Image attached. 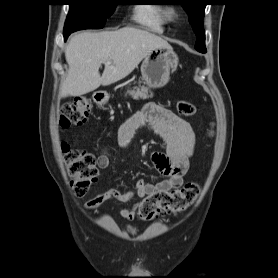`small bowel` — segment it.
<instances>
[{
  "mask_svg": "<svg viewBox=\"0 0 278 278\" xmlns=\"http://www.w3.org/2000/svg\"><path fill=\"white\" fill-rule=\"evenodd\" d=\"M141 128H148L165 143L164 152H156L152 161L157 171L164 178L157 183H147L140 179L132 191H123L110 187L86 203L88 209H96L108 200L129 202L134 197L144 198L158 191L176 190L183 184V177L188 171L189 160L195 146V133L190 123L177 116L171 110L147 103L142 110L127 119L119 128L118 141L121 147L127 148L135 133ZM98 167L107 169L110 157L102 153L97 158ZM139 204L121 209L120 216L132 220Z\"/></svg>",
  "mask_w": 278,
  "mask_h": 278,
  "instance_id": "obj_1",
  "label": "small bowel"
}]
</instances>
